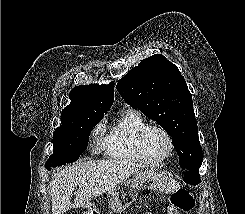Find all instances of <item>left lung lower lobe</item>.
Here are the masks:
<instances>
[{
  "instance_id": "0a47b994",
  "label": "left lung lower lobe",
  "mask_w": 245,
  "mask_h": 214,
  "mask_svg": "<svg viewBox=\"0 0 245 214\" xmlns=\"http://www.w3.org/2000/svg\"><path fill=\"white\" fill-rule=\"evenodd\" d=\"M185 178L184 181L191 185H197L201 182L200 174L198 169L187 170L184 172Z\"/></svg>"
}]
</instances>
